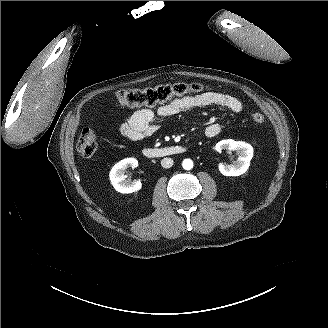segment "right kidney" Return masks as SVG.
I'll list each match as a JSON object with an SVG mask.
<instances>
[{
	"label": "right kidney",
	"mask_w": 328,
	"mask_h": 328,
	"mask_svg": "<svg viewBox=\"0 0 328 328\" xmlns=\"http://www.w3.org/2000/svg\"><path fill=\"white\" fill-rule=\"evenodd\" d=\"M138 161L135 158H127L117 163L110 172V183L114 189L119 193H133L142 189L141 182L129 183L126 181V175L124 171L131 168H136Z\"/></svg>",
	"instance_id": "1"
}]
</instances>
